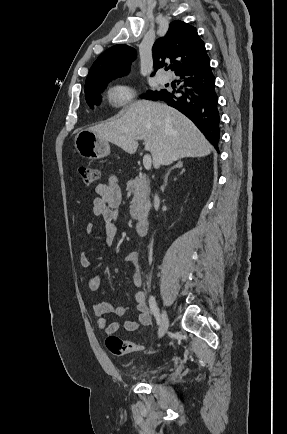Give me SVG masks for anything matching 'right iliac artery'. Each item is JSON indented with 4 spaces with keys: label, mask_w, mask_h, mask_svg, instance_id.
<instances>
[{
    "label": "right iliac artery",
    "mask_w": 287,
    "mask_h": 434,
    "mask_svg": "<svg viewBox=\"0 0 287 434\" xmlns=\"http://www.w3.org/2000/svg\"><path fill=\"white\" fill-rule=\"evenodd\" d=\"M149 306H150L151 312L153 313V315L156 319L157 325H160L161 317H160L159 309L157 307L155 298L153 296H150V298H149Z\"/></svg>",
    "instance_id": "82829eb1"
}]
</instances>
